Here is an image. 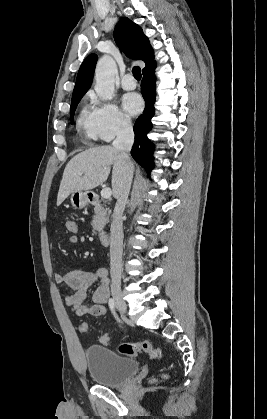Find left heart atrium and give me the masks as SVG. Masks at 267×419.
<instances>
[{
    "mask_svg": "<svg viewBox=\"0 0 267 419\" xmlns=\"http://www.w3.org/2000/svg\"><path fill=\"white\" fill-rule=\"evenodd\" d=\"M122 105L129 115L138 114L143 108V101L137 93H127L122 97Z\"/></svg>",
    "mask_w": 267,
    "mask_h": 419,
    "instance_id": "left-heart-atrium-1",
    "label": "left heart atrium"
}]
</instances>
